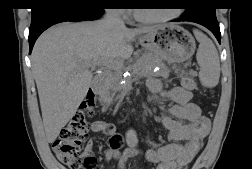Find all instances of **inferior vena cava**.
Here are the masks:
<instances>
[{
	"label": "inferior vena cava",
	"instance_id": "602c4592",
	"mask_svg": "<svg viewBox=\"0 0 252 169\" xmlns=\"http://www.w3.org/2000/svg\"><path fill=\"white\" fill-rule=\"evenodd\" d=\"M104 21L110 26L125 28V24L120 18V14L117 9H107Z\"/></svg>",
	"mask_w": 252,
	"mask_h": 169
}]
</instances>
